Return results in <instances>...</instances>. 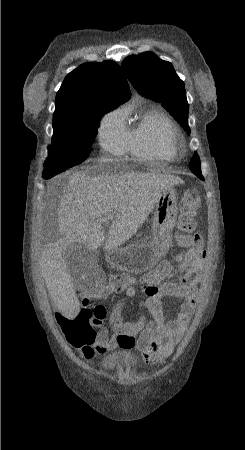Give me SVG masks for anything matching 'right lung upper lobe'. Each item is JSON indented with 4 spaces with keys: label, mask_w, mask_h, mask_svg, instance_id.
<instances>
[{
    "label": "right lung upper lobe",
    "mask_w": 245,
    "mask_h": 450,
    "mask_svg": "<svg viewBox=\"0 0 245 450\" xmlns=\"http://www.w3.org/2000/svg\"><path fill=\"white\" fill-rule=\"evenodd\" d=\"M130 97L127 80L115 62L85 63L65 77L56 94L54 117L84 112L98 103L120 105Z\"/></svg>",
    "instance_id": "cb5924a9"
}]
</instances>
